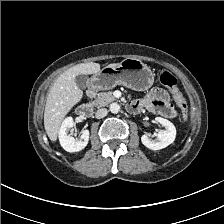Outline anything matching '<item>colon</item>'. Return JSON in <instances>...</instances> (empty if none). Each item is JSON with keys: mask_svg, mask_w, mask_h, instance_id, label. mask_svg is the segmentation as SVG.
Returning a JSON list of instances; mask_svg holds the SVG:
<instances>
[{"mask_svg": "<svg viewBox=\"0 0 224 224\" xmlns=\"http://www.w3.org/2000/svg\"><path fill=\"white\" fill-rule=\"evenodd\" d=\"M159 80L161 84L170 90L171 95L180 109L183 118L187 119L188 105L178 88L177 79L167 70H161L159 73Z\"/></svg>", "mask_w": 224, "mask_h": 224, "instance_id": "obj_1", "label": "colon"}]
</instances>
